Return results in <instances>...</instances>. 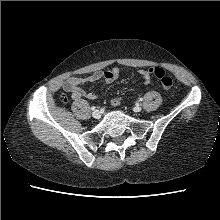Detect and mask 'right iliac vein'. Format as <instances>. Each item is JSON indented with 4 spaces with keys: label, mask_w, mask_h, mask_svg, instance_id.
Returning <instances> with one entry per match:
<instances>
[{
    "label": "right iliac vein",
    "mask_w": 220,
    "mask_h": 220,
    "mask_svg": "<svg viewBox=\"0 0 220 220\" xmlns=\"http://www.w3.org/2000/svg\"><path fill=\"white\" fill-rule=\"evenodd\" d=\"M92 116L94 119H99L101 117V113L99 110H95L93 113H92Z\"/></svg>",
    "instance_id": "obj_1"
}]
</instances>
